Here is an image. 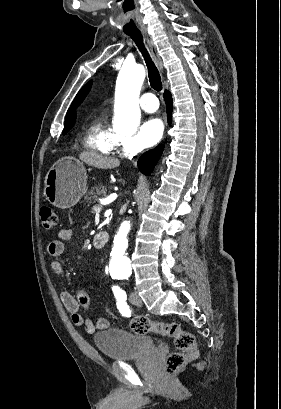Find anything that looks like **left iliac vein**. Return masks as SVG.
Masks as SVG:
<instances>
[{
    "mask_svg": "<svg viewBox=\"0 0 281 409\" xmlns=\"http://www.w3.org/2000/svg\"><path fill=\"white\" fill-rule=\"evenodd\" d=\"M129 300H130V302H131L132 304L138 305V306H140L141 303H142V302H141V299H140V297L138 296V294H137L136 291H132V292L130 293Z\"/></svg>",
    "mask_w": 281,
    "mask_h": 409,
    "instance_id": "left-iliac-vein-1",
    "label": "left iliac vein"
}]
</instances>
